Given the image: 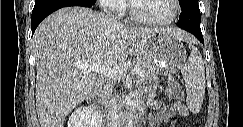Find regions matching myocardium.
Instances as JSON below:
<instances>
[{"instance_id": "f54148a6", "label": "myocardium", "mask_w": 243, "mask_h": 127, "mask_svg": "<svg viewBox=\"0 0 243 127\" xmlns=\"http://www.w3.org/2000/svg\"><path fill=\"white\" fill-rule=\"evenodd\" d=\"M136 1L137 0H129L128 10H129L131 18L139 23L155 25V26L168 25V24L172 23L174 20H176V18L178 17V15L180 13L179 0H170L171 4L173 6V12L169 17L164 18V19H149V18L141 16L137 12L136 5H135Z\"/></svg>"}]
</instances>
